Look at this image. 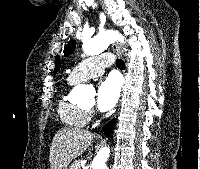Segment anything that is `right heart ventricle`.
I'll return each instance as SVG.
<instances>
[{
    "mask_svg": "<svg viewBox=\"0 0 200 169\" xmlns=\"http://www.w3.org/2000/svg\"><path fill=\"white\" fill-rule=\"evenodd\" d=\"M67 83L73 85L76 82L67 79ZM58 113L62 122L70 127H84L90 120V112L87 109L70 102L65 95V89L62 90L58 102Z\"/></svg>",
    "mask_w": 200,
    "mask_h": 169,
    "instance_id": "obj_1",
    "label": "right heart ventricle"
}]
</instances>
